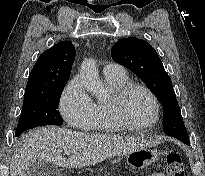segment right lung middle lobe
<instances>
[{"instance_id": "right-lung-middle-lobe-1", "label": "right lung middle lobe", "mask_w": 205, "mask_h": 176, "mask_svg": "<svg viewBox=\"0 0 205 176\" xmlns=\"http://www.w3.org/2000/svg\"><path fill=\"white\" fill-rule=\"evenodd\" d=\"M60 85L49 91L24 97L23 107L15 136L28 129L45 125H62L63 120L58 109V100L64 89Z\"/></svg>"}]
</instances>
